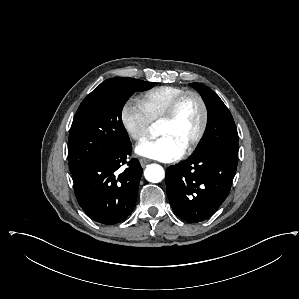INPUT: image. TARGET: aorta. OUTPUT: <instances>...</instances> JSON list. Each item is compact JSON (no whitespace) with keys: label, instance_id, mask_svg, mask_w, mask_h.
Instances as JSON below:
<instances>
[{"label":"aorta","instance_id":"1","mask_svg":"<svg viewBox=\"0 0 299 299\" xmlns=\"http://www.w3.org/2000/svg\"><path fill=\"white\" fill-rule=\"evenodd\" d=\"M144 176L147 181L152 183L161 182L165 177V171L163 167L157 164L148 165L144 171Z\"/></svg>","mask_w":299,"mask_h":299}]
</instances>
